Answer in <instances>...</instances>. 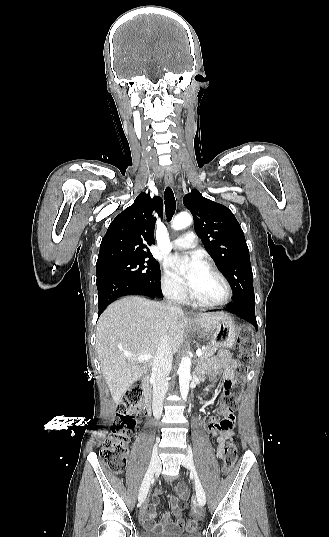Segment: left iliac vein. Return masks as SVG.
<instances>
[{"mask_svg": "<svg viewBox=\"0 0 329 537\" xmlns=\"http://www.w3.org/2000/svg\"><path fill=\"white\" fill-rule=\"evenodd\" d=\"M182 465L184 467H186L187 469H189L193 475H194V479H195V486H196V496H197V502H198V505L200 507H203L206 503V495H205V491L200 483V480L197 476V473H196V470H195V467H194V462H193V458L190 454H187L186 457L183 459L182 461ZM160 469V468H159Z\"/></svg>", "mask_w": 329, "mask_h": 537, "instance_id": "1", "label": "left iliac vein"}]
</instances>
